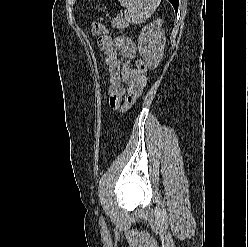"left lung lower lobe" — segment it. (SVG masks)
Segmentation results:
<instances>
[{"instance_id": "1", "label": "left lung lower lobe", "mask_w": 248, "mask_h": 247, "mask_svg": "<svg viewBox=\"0 0 248 247\" xmlns=\"http://www.w3.org/2000/svg\"><path fill=\"white\" fill-rule=\"evenodd\" d=\"M169 1L172 3L175 11L177 12L178 11L179 0H169Z\"/></svg>"}]
</instances>
